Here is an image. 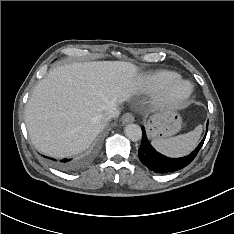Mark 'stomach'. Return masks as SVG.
I'll return each mask as SVG.
<instances>
[{
    "mask_svg": "<svg viewBox=\"0 0 234 234\" xmlns=\"http://www.w3.org/2000/svg\"><path fill=\"white\" fill-rule=\"evenodd\" d=\"M151 138H169L178 133L182 127L181 116L172 109H163L153 114L146 122Z\"/></svg>",
    "mask_w": 234,
    "mask_h": 234,
    "instance_id": "0dacf381",
    "label": "stomach"
}]
</instances>
